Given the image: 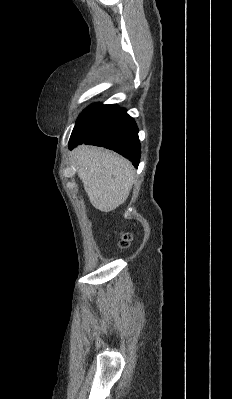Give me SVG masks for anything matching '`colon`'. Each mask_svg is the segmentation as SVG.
I'll return each mask as SVG.
<instances>
[{
	"label": "colon",
	"mask_w": 232,
	"mask_h": 399,
	"mask_svg": "<svg viewBox=\"0 0 232 399\" xmlns=\"http://www.w3.org/2000/svg\"><path fill=\"white\" fill-rule=\"evenodd\" d=\"M116 242L120 243V250H125L126 246H131V233H126V238H121V233L117 232Z\"/></svg>",
	"instance_id": "obj_1"
}]
</instances>
